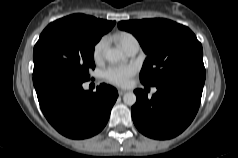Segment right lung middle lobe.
I'll list each match as a JSON object with an SVG mask.
<instances>
[{
    "label": "right lung middle lobe",
    "mask_w": 238,
    "mask_h": 158,
    "mask_svg": "<svg viewBox=\"0 0 238 158\" xmlns=\"http://www.w3.org/2000/svg\"><path fill=\"white\" fill-rule=\"evenodd\" d=\"M102 35L80 22L59 19L50 23L34 47V71L51 67L89 80V70L95 68L94 46Z\"/></svg>",
    "instance_id": "right-lung-middle-lobe-1"
}]
</instances>
